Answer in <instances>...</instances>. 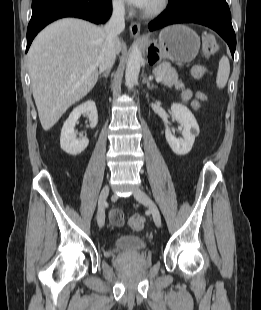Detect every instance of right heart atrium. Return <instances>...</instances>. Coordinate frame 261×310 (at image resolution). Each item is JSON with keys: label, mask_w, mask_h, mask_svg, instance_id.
<instances>
[{"label": "right heart atrium", "mask_w": 261, "mask_h": 310, "mask_svg": "<svg viewBox=\"0 0 261 310\" xmlns=\"http://www.w3.org/2000/svg\"><path fill=\"white\" fill-rule=\"evenodd\" d=\"M111 6L114 13L122 15L125 13V5L123 0H111Z\"/></svg>", "instance_id": "obj_1"}]
</instances>
